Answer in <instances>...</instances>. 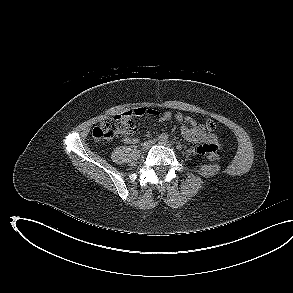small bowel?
I'll list each match as a JSON object with an SVG mask.
<instances>
[{"instance_id":"small-bowel-1","label":"small bowel","mask_w":293,"mask_h":293,"mask_svg":"<svg viewBox=\"0 0 293 293\" xmlns=\"http://www.w3.org/2000/svg\"><path fill=\"white\" fill-rule=\"evenodd\" d=\"M143 115H159V120L161 122L169 121L172 118V114L168 111L159 114V112L154 109H146L143 107L127 111L123 114V116L126 118ZM175 119L181 124L182 136L187 141L197 144V147L195 148L197 153L201 147H206L213 152H216L219 149L220 143L218 136L215 133V125L213 121L207 120L203 124H199L195 119L191 117H185L180 113L175 115ZM124 142L126 144L135 145L139 142V139L136 137H125Z\"/></svg>"}]
</instances>
